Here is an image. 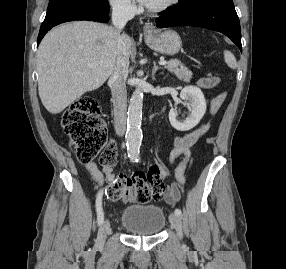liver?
Masks as SVG:
<instances>
[{"label":"liver","instance_id":"1","mask_svg":"<svg viewBox=\"0 0 286 269\" xmlns=\"http://www.w3.org/2000/svg\"><path fill=\"white\" fill-rule=\"evenodd\" d=\"M125 36L129 57L133 41ZM117 40L113 27L90 21L63 24L48 32L37 51L38 91L44 107L58 114L102 86L114 69Z\"/></svg>","mask_w":286,"mask_h":269}]
</instances>
